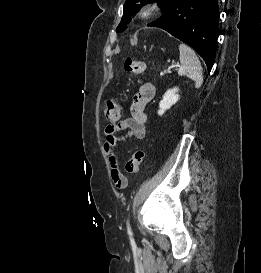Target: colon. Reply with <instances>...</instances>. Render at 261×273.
<instances>
[{"instance_id": "colon-1", "label": "colon", "mask_w": 261, "mask_h": 273, "mask_svg": "<svg viewBox=\"0 0 261 273\" xmlns=\"http://www.w3.org/2000/svg\"><path fill=\"white\" fill-rule=\"evenodd\" d=\"M124 69L127 73L139 76L144 71V64L136 59L127 58L124 62ZM123 113V109L120 104L114 99H108L104 103V114L107 121L116 123L119 121ZM144 158L142 150H137L133 153L131 158L125 165V170L128 174L135 175L140 171L141 163ZM117 187L122 189L125 187L123 179H118Z\"/></svg>"}]
</instances>
